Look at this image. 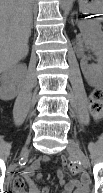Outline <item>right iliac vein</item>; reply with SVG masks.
<instances>
[{"mask_svg": "<svg viewBox=\"0 0 103 193\" xmlns=\"http://www.w3.org/2000/svg\"><path fill=\"white\" fill-rule=\"evenodd\" d=\"M26 150V147L23 149V151H25Z\"/></svg>", "mask_w": 103, "mask_h": 193, "instance_id": "right-iliac-vein-1", "label": "right iliac vein"}]
</instances>
